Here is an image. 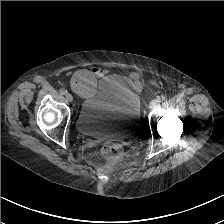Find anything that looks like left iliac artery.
I'll list each match as a JSON object with an SVG mask.
<instances>
[{
  "instance_id": "1",
  "label": "left iliac artery",
  "mask_w": 224,
  "mask_h": 224,
  "mask_svg": "<svg viewBox=\"0 0 224 224\" xmlns=\"http://www.w3.org/2000/svg\"><path fill=\"white\" fill-rule=\"evenodd\" d=\"M165 100V96L161 95L157 97L158 102H163Z\"/></svg>"
}]
</instances>
